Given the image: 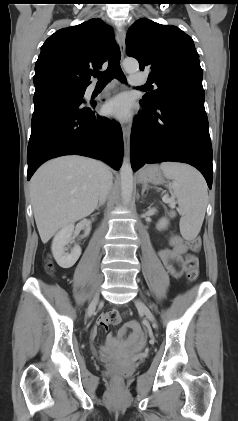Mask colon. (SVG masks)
<instances>
[{
  "label": "colon",
  "mask_w": 238,
  "mask_h": 421,
  "mask_svg": "<svg viewBox=\"0 0 238 421\" xmlns=\"http://www.w3.org/2000/svg\"><path fill=\"white\" fill-rule=\"evenodd\" d=\"M186 245L191 251H197L201 246V240L199 237L194 236L186 239ZM48 270L52 269V265L50 263L47 264ZM184 269L187 275V278L190 281H194L197 279L199 274V260L195 255H188L184 262ZM119 314V313H118ZM120 316V315H119ZM112 324H118V315L111 314L110 316ZM114 383L118 385L121 379L118 376H115L113 379Z\"/></svg>",
  "instance_id": "1"
}]
</instances>
